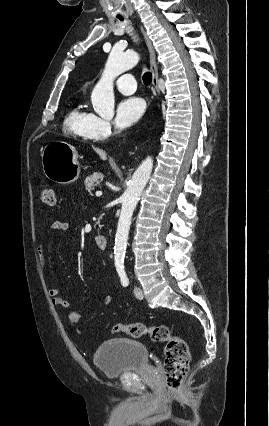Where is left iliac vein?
<instances>
[{
	"label": "left iliac vein",
	"instance_id": "left-iliac-vein-1",
	"mask_svg": "<svg viewBox=\"0 0 269 426\" xmlns=\"http://www.w3.org/2000/svg\"><path fill=\"white\" fill-rule=\"evenodd\" d=\"M134 294L138 299H142L143 298V292L140 288L135 287L134 288Z\"/></svg>",
	"mask_w": 269,
	"mask_h": 426
}]
</instances>
